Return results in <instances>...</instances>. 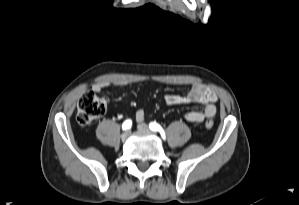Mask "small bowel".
I'll use <instances>...</instances> for the list:
<instances>
[{
    "label": "small bowel",
    "instance_id": "1",
    "mask_svg": "<svg viewBox=\"0 0 299 205\" xmlns=\"http://www.w3.org/2000/svg\"><path fill=\"white\" fill-rule=\"evenodd\" d=\"M108 86L107 82H99L92 86L94 92H100ZM217 95L216 93L206 88L201 84H193L189 92L185 95L169 93L164 96V101L168 105H183V104H201L203 105L202 111H190L186 114V119L192 123H200L205 119L212 118L216 114L217 108ZM145 117L143 109L136 112L137 122H141Z\"/></svg>",
    "mask_w": 299,
    "mask_h": 205
}]
</instances>
